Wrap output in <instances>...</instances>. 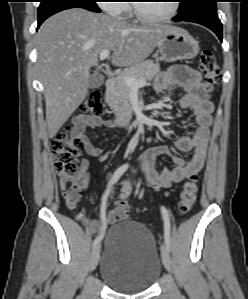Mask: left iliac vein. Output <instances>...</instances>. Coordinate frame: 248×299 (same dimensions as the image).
I'll list each match as a JSON object with an SVG mask.
<instances>
[{
    "label": "left iliac vein",
    "instance_id": "4c4485c4",
    "mask_svg": "<svg viewBox=\"0 0 248 299\" xmlns=\"http://www.w3.org/2000/svg\"><path fill=\"white\" fill-rule=\"evenodd\" d=\"M161 256H162V261L165 266V268L170 271L171 270V258L169 254V250L165 244L161 246Z\"/></svg>",
    "mask_w": 248,
    "mask_h": 299
}]
</instances>
